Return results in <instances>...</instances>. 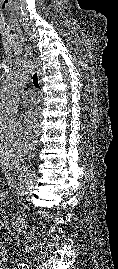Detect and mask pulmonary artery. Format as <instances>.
Wrapping results in <instances>:
<instances>
[{
	"label": "pulmonary artery",
	"mask_w": 118,
	"mask_h": 269,
	"mask_svg": "<svg viewBox=\"0 0 118 269\" xmlns=\"http://www.w3.org/2000/svg\"><path fill=\"white\" fill-rule=\"evenodd\" d=\"M38 96L33 90H28L23 93L21 97V104L24 106H29L37 103Z\"/></svg>",
	"instance_id": "obj_1"
}]
</instances>
